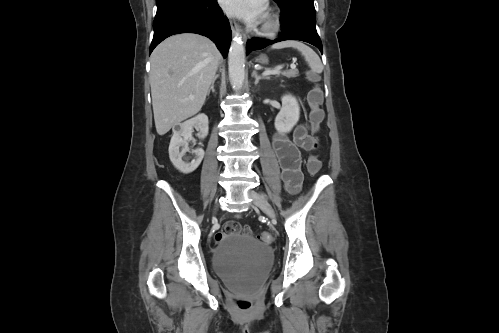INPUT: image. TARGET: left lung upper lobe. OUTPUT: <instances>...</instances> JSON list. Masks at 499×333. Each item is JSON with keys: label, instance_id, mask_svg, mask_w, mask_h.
Instances as JSON below:
<instances>
[{"label": "left lung upper lobe", "instance_id": "5c2ea615", "mask_svg": "<svg viewBox=\"0 0 499 333\" xmlns=\"http://www.w3.org/2000/svg\"><path fill=\"white\" fill-rule=\"evenodd\" d=\"M276 1H285V0H276Z\"/></svg>", "mask_w": 499, "mask_h": 333}]
</instances>
